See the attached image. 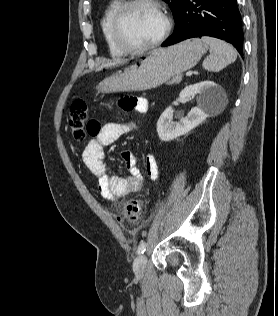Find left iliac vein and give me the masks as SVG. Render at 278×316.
Returning a JSON list of instances; mask_svg holds the SVG:
<instances>
[{"instance_id": "1", "label": "left iliac vein", "mask_w": 278, "mask_h": 316, "mask_svg": "<svg viewBox=\"0 0 278 316\" xmlns=\"http://www.w3.org/2000/svg\"><path fill=\"white\" fill-rule=\"evenodd\" d=\"M146 267V256L141 254L139 255L134 264H133V270L136 275H142Z\"/></svg>"}]
</instances>
